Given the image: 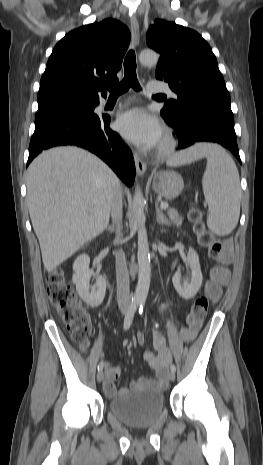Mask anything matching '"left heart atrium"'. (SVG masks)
I'll return each instance as SVG.
<instances>
[{"label": "left heart atrium", "instance_id": "left-heart-atrium-1", "mask_svg": "<svg viewBox=\"0 0 263 465\" xmlns=\"http://www.w3.org/2000/svg\"><path fill=\"white\" fill-rule=\"evenodd\" d=\"M115 127L124 138L143 148L155 147L162 138L160 122L142 108L122 113Z\"/></svg>", "mask_w": 263, "mask_h": 465}]
</instances>
